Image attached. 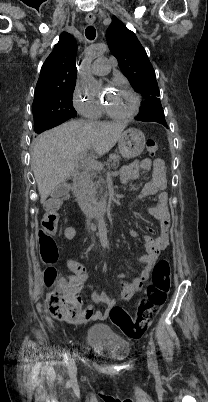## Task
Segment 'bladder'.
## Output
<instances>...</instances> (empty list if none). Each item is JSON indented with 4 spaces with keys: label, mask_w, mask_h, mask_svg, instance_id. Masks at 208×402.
Wrapping results in <instances>:
<instances>
[{
    "label": "bladder",
    "mask_w": 208,
    "mask_h": 402,
    "mask_svg": "<svg viewBox=\"0 0 208 402\" xmlns=\"http://www.w3.org/2000/svg\"><path fill=\"white\" fill-rule=\"evenodd\" d=\"M86 345L95 353H104L105 359L128 357L130 345L121 336L114 333L111 326L93 325L87 329Z\"/></svg>",
    "instance_id": "31cf9c89"
}]
</instances>
